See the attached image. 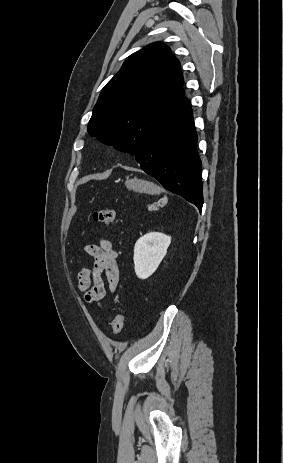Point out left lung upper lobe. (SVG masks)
<instances>
[{
    "label": "left lung upper lobe",
    "mask_w": 283,
    "mask_h": 463,
    "mask_svg": "<svg viewBox=\"0 0 283 463\" xmlns=\"http://www.w3.org/2000/svg\"><path fill=\"white\" fill-rule=\"evenodd\" d=\"M179 61L170 48L152 43L129 56L104 86L88 133L136 155L148 139L189 105Z\"/></svg>",
    "instance_id": "1"
}]
</instances>
